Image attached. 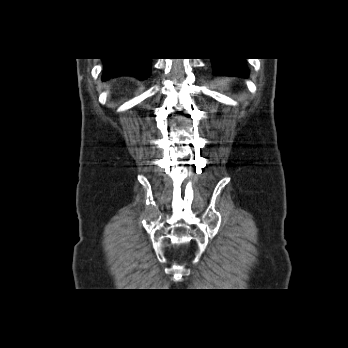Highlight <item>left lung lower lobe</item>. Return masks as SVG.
I'll list each match as a JSON object with an SVG mask.
<instances>
[{
	"label": "left lung lower lobe",
	"mask_w": 348,
	"mask_h": 348,
	"mask_svg": "<svg viewBox=\"0 0 348 348\" xmlns=\"http://www.w3.org/2000/svg\"><path fill=\"white\" fill-rule=\"evenodd\" d=\"M215 75L248 76L245 58H212Z\"/></svg>",
	"instance_id": "0a47b994"
}]
</instances>
